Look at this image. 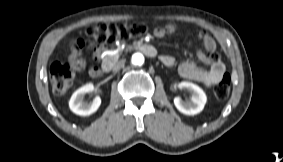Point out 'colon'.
I'll list each match as a JSON object with an SVG mask.
<instances>
[{"instance_id": "obj_1", "label": "colon", "mask_w": 283, "mask_h": 162, "mask_svg": "<svg viewBox=\"0 0 283 162\" xmlns=\"http://www.w3.org/2000/svg\"><path fill=\"white\" fill-rule=\"evenodd\" d=\"M147 27L143 24H107L99 23L86 29L90 39L100 43H108L117 39H129L145 34ZM74 69L68 63L55 62L50 68V82L55 94L65 93L73 84ZM231 79L225 74L215 86V96L224 100L230 93Z\"/></svg>"}]
</instances>
